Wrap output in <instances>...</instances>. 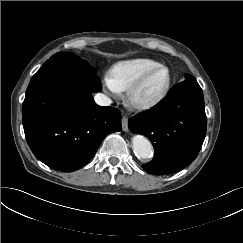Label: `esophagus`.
Instances as JSON below:
<instances>
[{"label": "esophagus", "mask_w": 243, "mask_h": 243, "mask_svg": "<svg viewBox=\"0 0 243 243\" xmlns=\"http://www.w3.org/2000/svg\"><path fill=\"white\" fill-rule=\"evenodd\" d=\"M122 129L125 132H127L129 130L128 129V117H126V116L122 117Z\"/></svg>", "instance_id": "34e87169"}]
</instances>
